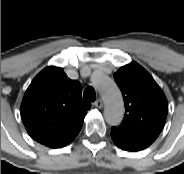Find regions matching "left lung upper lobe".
<instances>
[{"mask_svg":"<svg viewBox=\"0 0 184 174\" xmlns=\"http://www.w3.org/2000/svg\"><path fill=\"white\" fill-rule=\"evenodd\" d=\"M114 79L125 104L124 119L119 127L157 138L168 112L167 100L152 76L139 64L131 62L121 67Z\"/></svg>","mask_w":184,"mask_h":174,"instance_id":"5c2ea615","label":"left lung upper lobe"}]
</instances>
